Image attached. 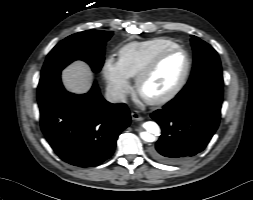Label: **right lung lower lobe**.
I'll use <instances>...</instances> for the list:
<instances>
[{
  "mask_svg": "<svg viewBox=\"0 0 253 200\" xmlns=\"http://www.w3.org/2000/svg\"><path fill=\"white\" fill-rule=\"evenodd\" d=\"M60 74L40 78L41 130L63 161L97 166L113 154L118 136L130 124V112L125 105L107 102L96 83L83 95L67 92Z\"/></svg>",
  "mask_w": 253,
  "mask_h": 200,
  "instance_id": "98d812e1",
  "label": "right lung lower lobe"
}]
</instances>
